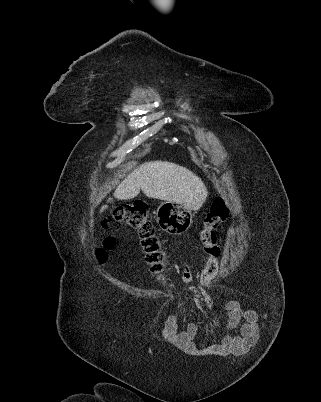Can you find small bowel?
<instances>
[{"instance_id": "small-bowel-1", "label": "small bowel", "mask_w": 321, "mask_h": 402, "mask_svg": "<svg viewBox=\"0 0 321 402\" xmlns=\"http://www.w3.org/2000/svg\"><path fill=\"white\" fill-rule=\"evenodd\" d=\"M184 282H190L193 279L191 271L185 267L182 273ZM209 310H213L215 305L209 303ZM226 309L229 313V327L232 328L231 334L220 332L224 344H216V340H205V344L195 341L197 335V325L189 323L184 329L179 328L178 316L170 318L165 326L166 335L175 344L183 348L187 358H238L243 357L244 353H252L260 338L259 320L256 319V312L251 307H245L243 303L228 302ZM243 319V320H242Z\"/></svg>"}]
</instances>
